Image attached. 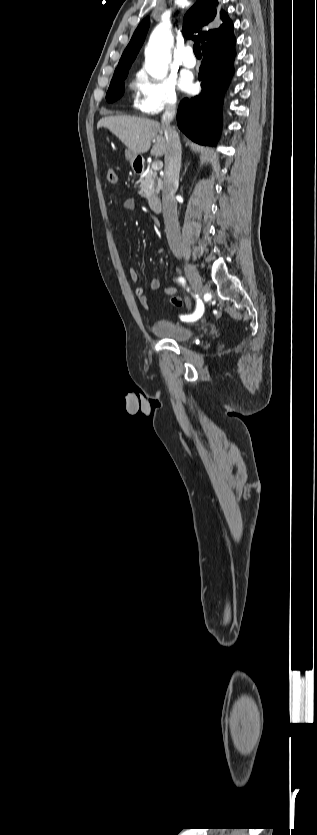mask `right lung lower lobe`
I'll list each match as a JSON object with an SVG mask.
<instances>
[{
    "mask_svg": "<svg viewBox=\"0 0 317 835\" xmlns=\"http://www.w3.org/2000/svg\"><path fill=\"white\" fill-rule=\"evenodd\" d=\"M234 44V36L229 34L202 47L198 75L202 91L191 99H183L178 107L179 129L199 144L214 145L220 136L222 99L233 73Z\"/></svg>",
    "mask_w": 317,
    "mask_h": 835,
    "instance_id": "1",
    "label": "right lung lower lobe"
}]
</instances>
